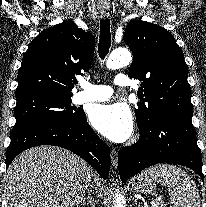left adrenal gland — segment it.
<instances>
[{
	"label": "left adrenal gland",
	"mask_w": 206,
	"mask_h": 207,
	"mask_svg": "<svg viewBox=\"0 0 206 207\" xmlns=\"http://www.w3.org/2000/svg\"><path fill=\"white\" fill-rule=\"evenodd\" d=\"M134 202H135V206H134V207H140V206L138 205V203H137L136 200H134Z\"/></svg>",
	"instance_id": "obj_1"
}]
</instances>
